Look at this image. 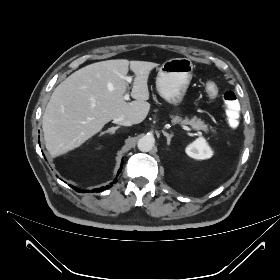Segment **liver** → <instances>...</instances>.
<instances>
[{
  "mask_svg": "<svg viewBox=\"0 0 280 280\" xmlns=\"http://www.w3.org/2000/svg\"><path fill=\"white\" fill-rule=\"evenodd\" d=\"M158 64L116 59L87 65L67 77L51 95L42 128L46 148L59 156L82 145L117 117L141 123L150 110L148 77ZM135 73L130 103L126 75Z\"/></svg>",
  "mask_w": 280,
  "mask_h": 280,
  "instance_id": "liver-1",
  "label": "liver"
}]
</instances>
